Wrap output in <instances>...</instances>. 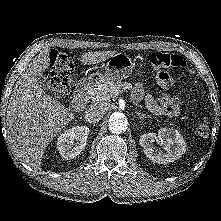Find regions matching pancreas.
<instances>
[{"instance_id":"cf45deb5","label":"pancreas","mask_w":221,"mask_h":221,"mask_svg":"<svg viewBox=\"0 0 221 221\" xmlns=\"http://www.w3.org/2000/svg\"><path fill=\"white\" fill-rule=\"evenodd\" d=\"M131 88L132 85L127 82L104 81L97 87L90 89V98L94 102L110 101L111 98L116 97L120 92Z\"/></svg>"}]
</instances>
